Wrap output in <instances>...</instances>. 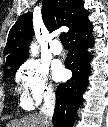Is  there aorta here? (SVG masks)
Here are the masks:
<instances>
[{
    "instance_id": "762f6f07",
    "label": "aorta",
    "mask_w": 108,
    "mask_h": 127,
    "mask_svg": "<svg viewBox=\"0 0 108 127\" xmlns=\"http://www.w3.org/2000/svg\"><path fill=\"white\" fill-rule=\"evenodd\" d=\"M30 54L31 56H36L38 54V46L34 43L31 44Z\"/></svg>"
}]
</instances>
